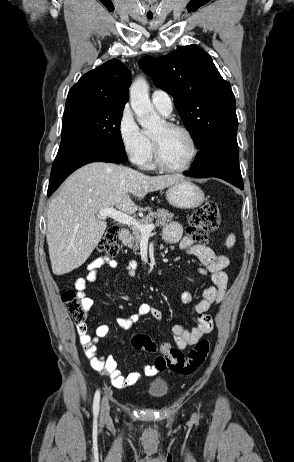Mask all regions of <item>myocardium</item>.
Listing matches in <instances>:
<instances>
[{
	"instance_id": "1",
	"label": "myocardium",
	"mask_w": 294,
	"mask_h": 462,
	"mask_svg": "<svg viewBox=\"0 0 294 462\" xmlns=\"http://www.w3.org/2000/svg\"><path fill=\"white\" fill-rule=\"evenodd\" d=\"M164 124L168 129L180 130L187 135L191 143V146H192V153H191L189 160L187 161L185 165L179 166V167L170 166L166 164L165 161L163 160L160 142L158 141L156 137L152 136L153 155H154L155 165L160 170L169 172V173H179V172H184V171L189 170L193 166L199 154V145H198V142H197V139L194 133L187 126L180 124V123L166 121Z\"/></svg>"
}]
</instances>
